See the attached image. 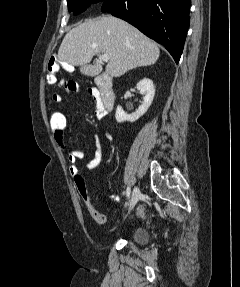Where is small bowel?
I'll return each instance as SVG.
<instances>
[{
  "label": "small bowel",
  "instance_id": "obj_1",
  "mask_svg": "<svg viewBox=\"0 0 240 287\" xmlns=\"http://www.w3.org/2000/svg\"><path fill=\"white\" fill-rule=\"evenodd\" d=\"M76 91H80V88H78ZM74 91V92H76ZM87 93L95 100L96 102V115L100 118H103L104 116L107 115V110L104 108L99 91L96 88H88ZM52 101L54 103H61L63 98L59 93H54L52 95ZM54 135V140L58 144V146L66 150V144L62 135ZM94 144H95V151L93 154L92 159H90L86 165L85 168L88 170H93L95 169L101 162L102 156H103V148H102V143L100 139L95 136L94 138ZM86 159V154L83 151L79 150H74V149H68L67 150V160L69 163V171L72 175H77L78 174V166L77 162L78 160H84ZM140 215H144V210L142 208H139L138 210Z\"/></svg>",
  "mask_w": 240,
  "mask_h": 287
}]
</instances>
